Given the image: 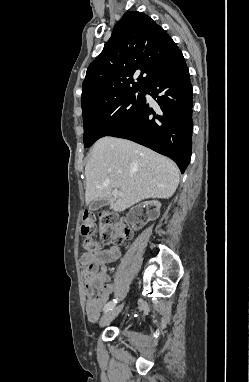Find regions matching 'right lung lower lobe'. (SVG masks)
I'll return each instance as SVG.
<instances>
[{
	"instance_id": "1",
	"label": "right lung lower lobe",
	"mask_w": 249,
	"mask_h": 382,
	"mask_svg": "<svg viewBox=\"0 0 249 382\" xmlns=\"http://www.w3.org/2000/svg\"><path fill=\"white\" fill-rule=\"evenodd\" d=\"M139 111L108 136L125 138L172 158L184 173L192 147V86L184 58L156 74L145 86Z\"/></svg>"
}]
</instances>
